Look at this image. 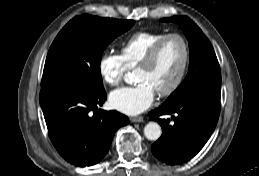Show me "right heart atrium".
Wrapping results in <instances>:
<instances>
[{
	"instance_id": "obj_1",
	"label": "right heart atrium",
	"mask_w": 259,
	"mask_h": 176,
	"mask_svg": "<svg viewBox=\"0 0 259 176\" xmlns=\"http://www.w3.org/2000/svg\"><path fill=\"white\" fill-rule=\"evenodd\" d=\"M127 67L119 54L105 52L98 63V72L103 82L109 86H118L127 72Z\"/></svg>"
}]
</instances>
